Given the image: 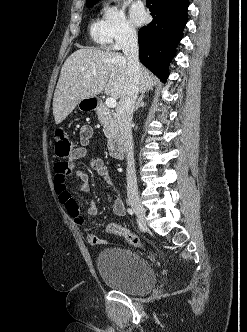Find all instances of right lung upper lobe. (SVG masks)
Masks as SVG:
<instances>
[{"instance_id": "obj_1", "label": "right lung upper lobe", "mask_w": 247, "mask_h": 332, "mask_svg": "<svg viewBox=\"0 0 247 332\" xmlns=\"http://www.w3.org/2000/svg\"><path fill=\"white\" fill-rule=\"evenodd\" d=\"M99 0H86V5L88 4H96Z\"/></svg>"}]
</instances>
